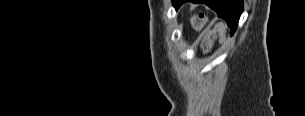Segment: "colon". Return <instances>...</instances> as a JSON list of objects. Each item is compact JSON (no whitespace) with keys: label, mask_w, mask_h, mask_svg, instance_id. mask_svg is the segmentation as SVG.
Instances as JSON below:
<instances>
[{"label":"colon","mask_w":305,"mask_h":116,"mask_svg":"<svg viewBox=\"0 0 305 116\" xmlns=\"http://www.w3.org/2000/svg\"><path fill=\"white\" fill-rule=\"evenodd\" d=\"M191 23H192L193 28H195L196 30H199L203 27V25L205 23V17L202 15H196V16L192 17Z\"/></svg>","instance_id":"1"}]
</instances>
